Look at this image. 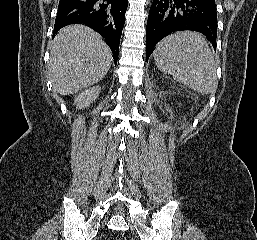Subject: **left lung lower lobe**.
I'll list each match as a JSON object with an SVG mask.
<instances>
[{
	"label": "left lung lower lobe",
	"instance_id": "1",
	"mask_svg": "<svg viewBox=\"0 0 257 240\" xmlns=\"http://www.w3.org/2000/svg\"><path fill=\"white\" fill-rule=\"evenodd\" d=\"M185 30L202 33L216 49L215 0H153L146 27L147 60L165 36Z\"/></svg>",
	"mask_w": 257,
	"mask_h": 240
}]
</instances>
